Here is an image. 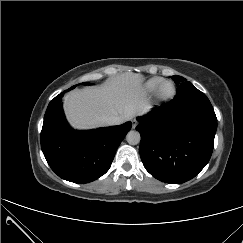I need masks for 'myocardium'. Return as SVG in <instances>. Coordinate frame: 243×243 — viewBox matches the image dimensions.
I'll return each mask as SVG.
<instances>
[{
  "label": "myocardium",
  "mask_w": 243,
  "mask_h": 243,
  "mask_svg": "<svg viewBox=\"0 0 243 243\" xmlns=\"http://www.w3.org/2000/svg\"><path fill=\"white\" fill-rule=\"evenodd\" d=\"M167 85H170L172 87V91L170 94L165 95L163 93V90ZM175 95H176V87L172 81H164L156 90V97L161 102H168L172 100L175 97Z\"/></svg>",
  "instance_id": "f54148a6"
}]
</instances>
